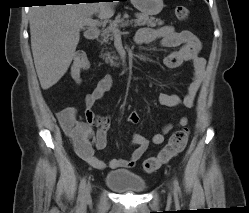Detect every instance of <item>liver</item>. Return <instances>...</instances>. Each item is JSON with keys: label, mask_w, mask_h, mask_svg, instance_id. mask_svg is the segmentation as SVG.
Segmentation results:
<instances>
[{"label": "liver", "mask_w": 249, "mask_h": 213, "mask_svg": "<svg viewBox=\"0 0 249 213\" xmlns=\"http://www.w3.org/2000/svg\"><path fill=\"white\" fill-rule=\"evenodd\" d=\"M112 2L33 6L30 10L31 49L42 89L55 85L67 72L86 18L113 16Z\"/></svg>", "instance_id": "6515ba94"}]
</instances>
